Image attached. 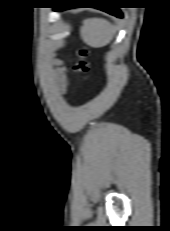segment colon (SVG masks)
Returning a JSON list of instances; mask_svg holds the SVG:
<instances>
[{"instance_id": "colon-1", "label": "colon", "mask_w": 170, "mask_h": 231, "mask_svg": "<svg viewBox=\"0 0 170 231\" xmlns=\"http://www.w3.org/2000/svg\"><path fill=\"white\" fill-rule=\"evenodd\" d=\"M86 53H87V50L85 49L80 50L78 53V59L73 65L74 70L77 72H80L84 76L87 74L89 70V65L85 59Z\"/></svg>"}]
</instances>
